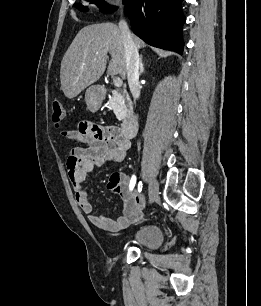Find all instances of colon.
<instances>
[{
  "mask_svg": "<svg viewBox=\"0 0 261 306\" xmlns=\"http://www.w3.org/2000/svg\"><path fill=\"white\" fill-rule=\"evenodd\" d=\"M65 117V110L62 106V104L58 101L55 100L52 104V113H51V119H52V123L54 124V126L59 127ZM120 176L118 173H113L111 176V180L114 182L119 181Z\"/></svg>",
  "mask_w": 261,
  "mask_h": 306,
  "instance_id": "colon-1",
  "label": "colon"
}]
</instances>
